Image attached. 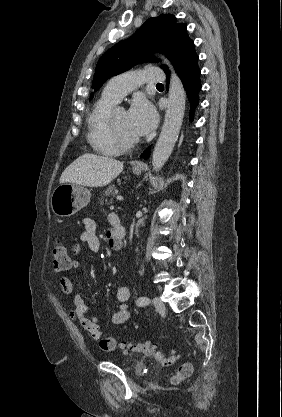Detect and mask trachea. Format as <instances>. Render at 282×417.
<instances>
[{"instance_id": "trachea-1", "label": "trachea", "mask_w": 282, "mask_h": 417, "mask_svg": "<svg viewBox=\"0 0 282 417\" xmlns=\"http://www.w3.org/2000/svg\"><path fill=\"white\" fill-rule=\"evenodd\" d=\"M157 85H163V83H157Z\"/></svg>"}]
</instances>
